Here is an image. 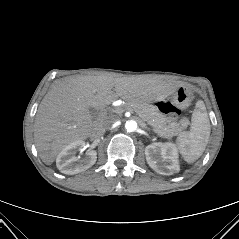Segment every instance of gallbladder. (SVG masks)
Masks as SVG:
<instances>
[{"label":"gallbladder","instance_id":"gallbladder-1","mask_svg":"<svg viewBox=\"0 0 239 239\" xmlns=\"http://www.w3.org/2000/svg\"><path fill=\"white\" fill-rule=\"evenodd\" d=\"M90 113H91V115L94 116L96 114V111L94 109L90 108Z\"/></svg>","mask_w":239,"mask_h":239}]
</instances>
